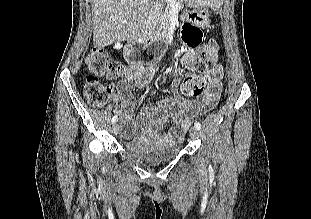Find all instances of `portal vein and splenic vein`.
<instances>
[{"mask_svg":"<svg viewBox=\"0 0 311 219\" xmlns=\"http://www.w3.org/2000/svg\"><path fill=\"white\" fill-rule=\"evenodd\" d=\"M166 1L171 5V7L178 9V4L176 0H166Z\"/></svg>","mask_w":311,"mask_h":219,"instance_id":"portal-vein-and-splenic-vein-1","label":"portal vein and splenic vein"}]
</instances>
